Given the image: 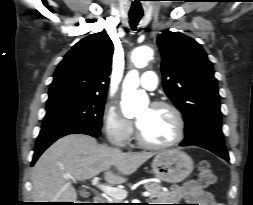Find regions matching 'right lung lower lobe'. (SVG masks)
I'll use <instances>...</instances> for the list:
<instances>
[{
    "mask_svg": "<svg viewBox=\"0 0 253 205\" xmlns=\"http://www.w3.org/2000/svg\"><path fill=\"white\" fill-rule=\"evenodd\" d=\"M74 133L87 134L93 137H97L100 135V129H92L81 126H59L52 128H42L36 141V147L31 166L34 165L43 151L58 138Z\"/></svg>",
    "mask_w": 253,
    "mask_h": 205,
    "instance_id": "right-lung-lower-lobe-1",
    "label": "right lung lower lobe"
}]
</instances>
